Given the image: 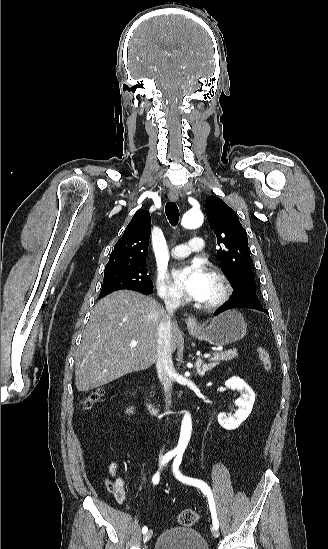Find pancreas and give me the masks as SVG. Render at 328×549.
Here are the masks:
<instances>
[{"instance_id": "1", "label": "pancreas", "mask_w": 328, "mask_h": 549, "mask_svg": "<svg viewBox=\"0 0 328 549\" xmlns=\"http://www.w3.org/2000/svg\"><path fill=\"white\" fill-rule=\"evenodd\" d=\"M235 357H237V349H230V351H224V353H213L210 361H214L212 367H216L220 361H232Z\"/></svg>"}]
</instances>
